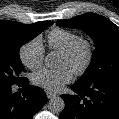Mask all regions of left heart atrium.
Returning <instances> with one entry per match:
<instances>
[{
    "label": "left heart atrium",
    "mask_w": 119,
    "mask_h": 119,
    "mask_svg": "<svg viewBox=\"0 0 119 119\" xmlns=\"http://www.w3.org/2000/svg\"><path fill=\"white\" fill-rule=\"evenodd\" d=\"M73 71L67 67L57 70L41 69L32 75V82L47 91L57 92L73 78Z\"/></svg>",
    "instance_id": "1"
}]
</instances>
